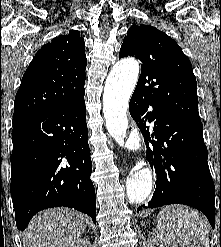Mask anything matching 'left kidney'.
Listing matches in <instances>:
<instances>
[{"instance_id": "obj_1", "label": "left kidney", "mask_w": 221, "mask_h": 247, "mask_svg": "<svg viewBox=\"0 0 221 247\" xmlns=\"http://www.w3.org/2000/svg\"><path fill=\"white\" fill-rule=\"evenodd\" d=\"M160 243H164L165 247H176L175 245L167 242L160 235H154V236L150 237V239L148 240V247H155V245H158Z\"/></svg>"}]
</instances>
